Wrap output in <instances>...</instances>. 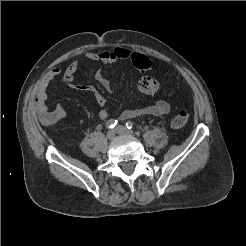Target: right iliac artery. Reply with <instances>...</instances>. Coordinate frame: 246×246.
I'll use <instances>...</instances> for the list:
<instances>
[{
    "label": "right iliac artery",
    "mask_w": 246,
    "mask_h": 246,
    "mask_svg": "<svg viewBox=\"0 0 246 246\" xmlns=\"http://www.w3.org/2000/svg\"><path fill=\"white\" fill-rule=\"evenodd\" d=\"M116 125H117V120L114 119H110L106 122V127L110 129L114 128Z\"/></svg>",
    "instance_id": "1"
}]
</instances>
